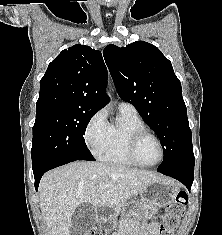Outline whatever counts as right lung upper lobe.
Returning <instances> with one entry per match:
<instances>
[{
  "mask_svg": "<svg viewBox=\"0 0 222 235\" xmlns=\"http://www.w3.org/2000/svg\"><path fill=\"white\" fill-rule=\"evenodd\" d=\"M107 69L101 52L76 44L63 50L40 81L36 112L51 107L97 112L108 103L104 88Z\"/></svg>",
  "mask_w": 222,
  "mask_h": 235,
  "instance_id": "obj_1",
  "label": "right lung upper lobe"
}]
</instances>
